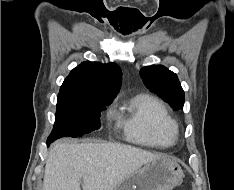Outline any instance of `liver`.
<instances>
[{"instance_id":"liver-1","label":"liver","mask_w":234,"mask_h":190,"mask_svg":"<svg viewBox=\"0 0 234 190\" xmlns=\"http://www.w3.org/2000/svg\"><path fill=\"white\" fill-rule=\"evenodd\" d=\"M160 157L120 143H57L49 152L43 190H113L125 177Z\"/></svg>"}]
</instances>
